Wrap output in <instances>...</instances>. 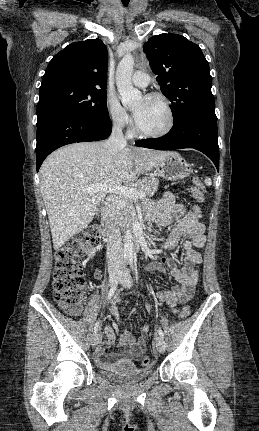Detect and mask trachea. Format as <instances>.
Masks as SVG:
<instances>
[{
  "instance_id": "1",
  "label": "trachea",
  "mask_w": 259,
  "mask_h": 431,
  "mask_svg": "<svg viewBox=\"0 0 259 431\" xmlns=\"http://www.w3.org/2000/svg\"><path fill=\"white\" fill-rule=\"evenodd\" d=\"M130 0H122V3L127 6Z\"/></svg>"
}]
</instances>
